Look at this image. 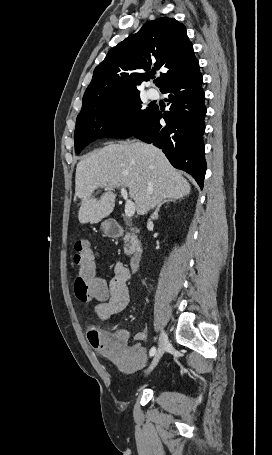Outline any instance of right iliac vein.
I'll return each mask as SVG.
<instances>
[{
    "mask_svg": "<svg viewBox=\"0 0 272 455\" xmlns=\"http://www.w3.org/2000/svg\"><path fill=\"white\" fill-rule=\"evenodd\" d=\"M167 346H168V337H167L166 332L164 330H162L160 338H159L157 351L155 353V356H154L149 368L146 371V375H148L156 367L159 360L163 356Z\"/></svg>",
    "mask_w": 272,
    "mask_h": 455,
    "instance_id": "obj_1",
    "label": "right iliac vein"
}]
</instances>
